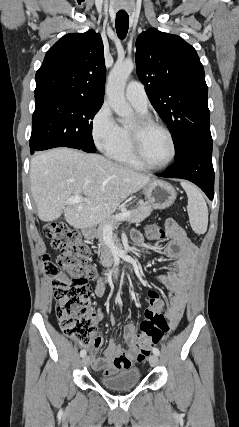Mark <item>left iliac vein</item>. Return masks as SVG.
I'll return each mask as SVG.
<instances>
[{"instance_id": "obj_1", "label": "left iliac vein", "mask_w": 239, "mask_h": 427, "mask_svg": "<svg viewBox=\"0 0 239 427\" xmlns=\"http://www.w3.org/2000/svg\"><path fill=\"white\" fill-rule=\"evenodd\" d=\"M159 359L157 355L153 354L149 357V363L152 367H155L158 365Z\"/></svg>"}]
</instances>
